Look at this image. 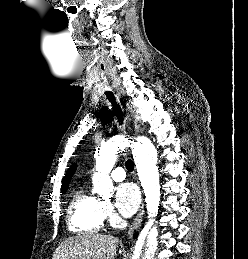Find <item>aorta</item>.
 <instances>
[{"mask_svg": "<svg viewBox=\"0 0 248 259\" xmlns=\"http://www.w3.org/2000/svg\"><path fill=\"white\" fill-rule=\"evenodd\" d=\"M127 146L132 148L139 180L146 197L148 217L153 218L159 210L160 183L156 165L157 150L147 138H140L137 142H131L124 137L116 136L102 144L96 158V173L92 177L94 191L102 197H106L112 192L113 183L109 173L114 167L118 152L124 150ZM157 236V228H151L146 238L144 250L142 251V245L138 241L133 259H154L158 244Z\"/></svg>", "mask_w": 248, "mask_h": 259, "instance_id": "obj_1", "label": "aorta"}]
</instances>
